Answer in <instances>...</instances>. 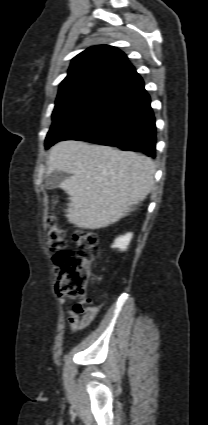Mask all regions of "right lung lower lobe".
Instances as JSON below:
<instances>
[{
	"label": "right lung lower lobe",
	"mask_w": 208,
	"mask_h": 425,
	"mask_svg": "<svg viewBox=\"0 0 208 425\" xmlns=\"http://www.w3.org/2000/svg\"><path fill=\"white\" fill-rule=\"evenodd\" d=\"M150 102L143 79L132 66L95 99L65 114L49 135L54 143L74 139L155 157L156 126Z\"/></svg>",
	"instance_id": "obj_1"
}]
</instances>
